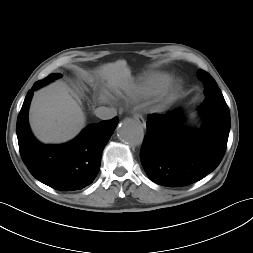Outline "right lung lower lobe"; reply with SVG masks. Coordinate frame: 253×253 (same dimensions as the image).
<instances>
[{
    "label": "right lung lower lobe",
    "mask_w": 253,
    "mask_h": 253,
    "mask_svg": "<svg viewBox=\"0 0 253 253\" xmlns=\"http://www.w3.org/2000/svg\"><path fill=\"white\" fill-rule=\"evenodd\" d=\"M28 91L17 119L16 132L23 162L42 183L61 191H74L91 184L97 176L101 155L114 132L118 117L87 126L78 137L62 145H43L32 135L28 110L34 90Z\"/></svg>",
    "instance_id": "98d812e1"
}]
</instances>
